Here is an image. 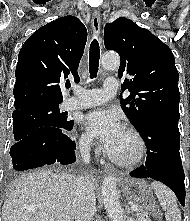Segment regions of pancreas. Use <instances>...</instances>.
I'll return each instance as SVG.
<instances>
[{
  "mask_svg": "<svg viewBox=\"0 0 190 221\" xmlns=\"http://www.w3.org/2000/svg\"><path fill=\"white\" fill-rule=\"evenodd\" d=\"M136 219L137 221H151L149 219H146L147 213L144 211L143 208H140L136 211Z\"/></svg>",
  "mask_w": 190,
  "mask_h": 221,
  "instance_id": "1",
  "label": "pancreas"
}]
</instances>
